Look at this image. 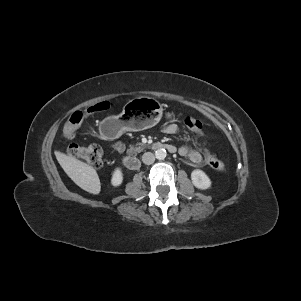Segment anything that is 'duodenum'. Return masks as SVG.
<instances>
[{
  "instance_id": "obj_1",
  "label": "duodenum",
  "mask_w": 301,
  "mask_h": 301,
  "mask_svg": "<svg viewBox=\"0 0 301 301\" xmlns=\"http://www.w3.org/2000/svg\"><path fill=\"white\" fill-rule=\"evenodd\" d=\"M152 147L155 149H165L170 153L176 152V147L171 144H167V143L156 142V143L152 144ZM123 164L129 170H135L139 166V162L134 156L124 157Z\"/></svg>"
}]
</instances>
